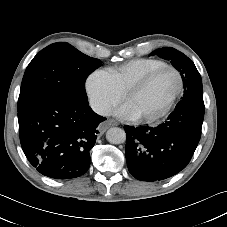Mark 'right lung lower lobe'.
<instances>
[{"label": "right lung lower lobe", "mask_w": 227, "mask_h": 227, "mask_svg": "<svg viewBox=\"0 0 227 227\" xmlns=\"http://www.w3.org/2000/svg\"><path fill=\"white\" fill-rule=\"evenodd\" d=\"M88 104L46 97L18 111L22 149L41 174L55 179L83 175L90 166L100 122Z\"/></svg>", "instance_id": "98d812e1"}]
</instances>
